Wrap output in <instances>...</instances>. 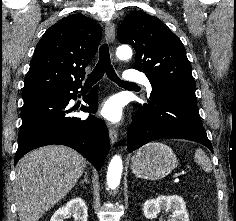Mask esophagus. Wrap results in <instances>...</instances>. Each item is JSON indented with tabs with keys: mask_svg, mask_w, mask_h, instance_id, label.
Instances as JSON below:
<instances>
[{
	"mask_svg": "<svg viewBox=\"0 0 236 221\" xmlns=\"http://www.w3.org/2000/svg\"><path fill=\"white\" fill-rule=\"evenodd\" d=\"M105 36L108 42L113 43L115 40V26L112 22H109L105 26ZM109 137L112 144L116 143L118 140L117 130L109 126Z\"/></svg>",
	"mask_w": 236,
	"mask_h": 221,
	"instance_id": "obj_1",
	"label": "esophagus"
}]
</instances>
